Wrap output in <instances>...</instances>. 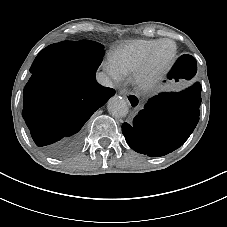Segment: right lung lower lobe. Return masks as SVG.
<instances>
[{
    "label": "right lung lower lobe",
    "mask_w": 227,
    "mask_h": 227,
    "mask_svg": "<svg viewBox=\"0 0 227 227\" xmlns=\"http://www.w3.org/2000/svg\"><path fill=\"white\" fill-rule=\"evenodd\" d=\"M71 41L44 48L35 58L24 88L23 118L42 151L66 157L81 145L82 130L92 114L115 94L99 85L95 73L79 68L70 57Z\"/></svg>",
    "instance_id": "obj_1"
}]
</instances>
